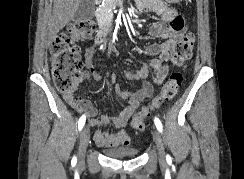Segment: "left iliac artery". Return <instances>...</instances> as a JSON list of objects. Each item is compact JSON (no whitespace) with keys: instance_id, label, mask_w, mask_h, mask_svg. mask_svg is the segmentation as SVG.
<instances>
[{"instance_id":"44dca946","label":"left iliac artery","mask_w":244,"mask_h":179,"mask_svg":"<svg viewBox=\"0 0 244 179\" xmlns=\"http://www.w3.org/2000/svg\"><path fill=\"white\" fill-rule=\"evenodd\" d=\"M154 122H155V125H156L157 129L160 132H162V123H161V121L158 118L155 117Z\"/></svg>"}]
</instances>
